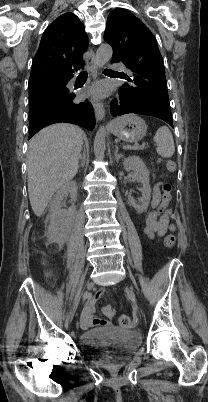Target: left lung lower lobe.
Segmentation results:
<instances>
[{
	"label": "left lung lower lobe",
	"instance_id": "0a47b994",
	"mask_svg": "<svg viewBox=\"0 0 208 402\" xmlns=\"http://www.w3.org/2000/svg\"><path fill=\"white\" fill-rule=\"evenodd\" d=\"M112 62H116L112 59ZM118 100L111 102L110 112L112 116H121L128 113L154 116L167 122L171 127L172 115L169 106L150 100H139V97L132 96L122 87L118 91Z\"/></svg>",
	"mask_w": 208,
	"mask_h": 402
}]
</instances>
